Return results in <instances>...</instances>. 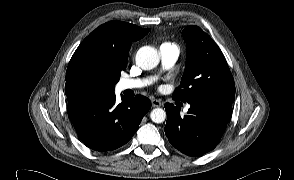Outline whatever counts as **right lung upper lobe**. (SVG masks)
<instances>
[{"label":"right lung upper lobe","instance_id":"obj_1","mask_svg":"<svg viewBox=\"0 0 294 180\" xmlns=\"http://www.w3.org/2000/svg\"><path fill=\"white\" fill-rule=\"evenodd\" d=\"M149 31V28H140L126 22L110 21L89 34L74 52L66 71L65 91L68 101L74 99L68 94L67 78L79 61L92 58L125 69L131 43L143 38Z\"/></svg>","mask_w":294,"mask_h":180}]
</instances>
